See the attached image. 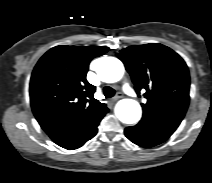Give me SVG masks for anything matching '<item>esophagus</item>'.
Listing matches in <instances>:
<instances>
[{
  "label": "esophagus",
  "mask_w": 212,
  "mask_h": 183,
  "mask_svg": "<svg viewBox=\"0 0 212 183\" xmlns=\"http://www.w3.org/2000/svg\"><path fill=\"white\" fill-rule=\"evenodd\" d=\"M122 97H123L122 93L121 92H118L117 95L115 97H113L111 100L113 102H115V101H117L118 99H120Z\"/></svg>",
  "instance_id": "obj_1"
}]
</instances>
